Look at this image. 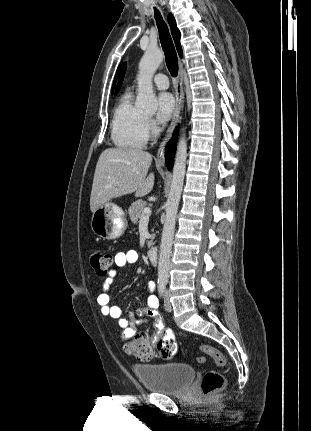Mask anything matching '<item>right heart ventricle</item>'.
Instances as JSON below:
<instances>
[{"label":"right heart ventricle","instance_id":"e07e8e85","mask_svg":"<svg viewBox=\"0 0 311 431\" xmlns=\"http://www.w3.org/2000/svg\"><path fill=\"white\" fill-rule=\"evenodd\" d=\"M148 136L146 115L134 106L131 92L125 93L113 111V144L120 150H138L146 145Z\"/></svg>","mask_w":311,"mask_h":431}]
</instances>
